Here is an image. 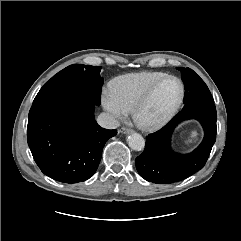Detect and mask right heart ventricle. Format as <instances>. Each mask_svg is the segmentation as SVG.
<instances>
[{"mask_svg":"<svg viewBox=\"0 0 241 241\" xmlns=\"http://www.w3.org/2000/svg\"><path fill=\"white\" fill-rule=\"evenodd\" d=\"M165 75L149 71L125 74L111 81L110 90L126 110L131 111L145 91Z\"/></svg>","mask_w":241,"mask_h":241,"instance_id":"1","label":"right heart ventricle"}]
</instances>
